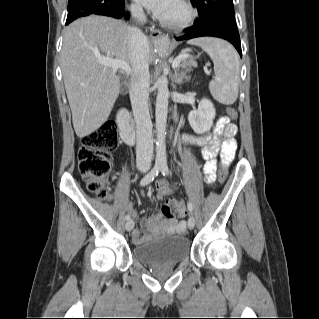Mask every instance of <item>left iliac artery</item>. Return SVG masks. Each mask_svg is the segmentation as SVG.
I'll list each match as a JSON object with an SVG mask.
<instances>
[{
    "instance_id": "obj_1",
    "label": "left iliac artery",
    "mask_w": 319,
    "mask_h": 319,
    "mask_svg": "<svg viewBox=\"0 0 319 319\" xmlns=\"http://www.w3.org/2000/svg\"><path fill=\"white\" fill-rule=\"evenodd\" d=\"M160 167H161V172L164 176L169 174V168L166 162H162L160 164ZM187 208L191 213L193 212V205L190 202L187 203Z\"/></svg>"
}]
</instances>
